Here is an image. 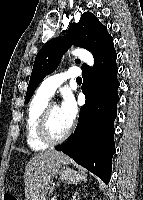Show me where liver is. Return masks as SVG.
<instances>
[{
	"instance_id": "1",
	"label": "liver",
	"mask_w": 143,
	"mask_h": 200,
	"mask_svg": "<svg viewBox=\"0 0 143 200\" xmlns=\"http://www.w3.org/2000/svg\"><path fill=\"white\" fill-rule=\"evenodd\" d=\"M71 161L70 157L55 150L42 151L31 158L25 167V200H46L51 177Z\"/></svg>"
}]
</instances>
